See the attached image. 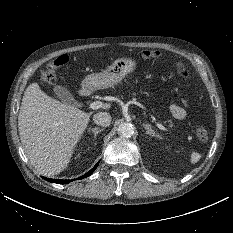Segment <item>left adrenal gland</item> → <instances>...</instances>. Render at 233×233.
I'll use <instances>...</instances> for the list:
<instances>
[{
	"label": "left adrenal gland",
	"mask_w": 233,
	"mask_h": 233,
	"mask_svg": "<svg viewBox=\"0 0 233 233\" xmlns=\"http://www.w3.org/2000/svg\"><path fill=\"white\" fill-rule=\"evenodd\" d=\"M143 127L146 130V134L150 135L151 137L160 138V135L155 133L150 124H143Z\"/></svg>",
	"instance_id": "1"
}]
</instances>
